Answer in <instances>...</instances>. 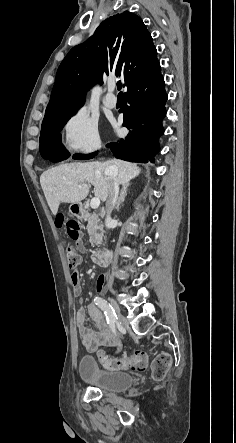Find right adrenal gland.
I'll return each instance as SVG.
<instances>
[{
	"mask_svg": "<svg viewBox=\"0 0 236 443\" xmlns=\"http://www.w3.org/2000/svg\"><path fill=\"white\" fill-rule=\"evenodd\" d=\"M129 184H124L121 190V194L120 197L118 198V201L116 203V207L115 209L118 211L120 209V206L122 204V202H124L125 197L127 195V190H128Z\"/></svg>",
	"mask_w": 236,
	"mask_h": 443,
	"instance_id": "right-adrenal-gland-1",
	"label": "right adrenal gland"
}]
</instances>
